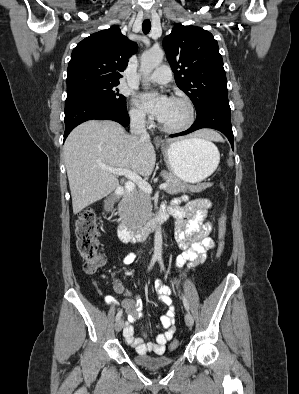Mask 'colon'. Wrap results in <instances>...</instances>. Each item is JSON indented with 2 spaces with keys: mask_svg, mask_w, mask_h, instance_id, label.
I'll return each instance as SVG.
<instances>
[{
  "mask_svg": "<svg viewBox=\"0 0 299 394\" xmlns=\"http://www.w3.org/2000/svg\"><path fill=\"white\" fill-rule=\"evenodd\" d=\"M227 215L224 212L218 221V247L216 255L220 258L225 249V237L227 231ZM76 247L81 255L84 264L83 268L86 273H95L101 269L106 259L100 251L98 242V225L96 213L93 208L88 207L81 211L75 225ZM177 343L172 342L170 348H176Z\"/></svg>",
  "mask_w": 299,
  "mask_h": 394,
  "instance_id": "5ec220e1",
  "label": "colon"
}]
</instances>
